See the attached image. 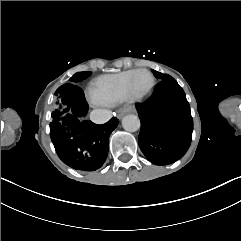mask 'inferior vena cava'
<instances>
[{
  "instance_id": "602c4592",
  "label": "inferior vena cava",
  "mask_w": 241,
  "mask_h": 241,
  "mask_svg": "<svg viewBox=\"0 0 241 241\" xmlns=\"http://www.w3.org/2000/svg\"><path fill=\"white\" fill-rule=\"evenodd\" d=\"M112 118V111L107 109H95L90 113V120L96 124H104Z\"/></svg>"
}]
</instances>
